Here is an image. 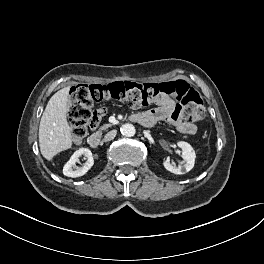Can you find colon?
<instances>
[{
    "instance_id": "obj_1",
    "label": "colon",
    "mask_w": 264,
    "mask_h": 264,
    "mask_svg": "<svg viewBox=\"0 0 264 264\" xmlns=\"http://www.w3.org/2000/svg\"><path fill=\"white\" fill-rule=\"evenodd\" d=\"M163 98H175L186 120L198 121L205 115L200 94L183 80L158 84L131 81H117L106 85L79 84L71 91L68 110L73 139L76 143L81 142L89 129L98 126L101 111L93 110L95 106L117 101L139 108Z\"/></svg>"
}]
</instances>
